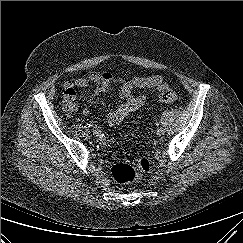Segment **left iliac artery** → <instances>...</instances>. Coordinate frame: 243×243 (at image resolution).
Wrapping results in <instances>:
<instances>
[{
  "label": "left iliac artery",
  "instance_id": "left-iliac-artery-1",
  "mask_svg": "<svg viewBox=\"0 0 243 243\" xmlns=\"http://www.w3.org/2000/svg\"><path fill=\"white\" fill-rule=\"evenodd\" d=\"M156 125L159 126V122H157Z\"/></svg>",
  "mask_w": 243,
  "mask_h": 243
}]
</instances>
